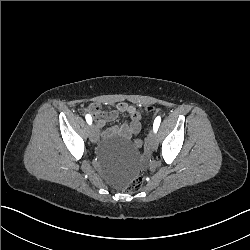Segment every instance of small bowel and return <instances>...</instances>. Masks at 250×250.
<instances>
[{"instance_id":"1","label":"small bowel","mask_w":250,"mask_h":250,"mask_svg":"<svg viewBox=\"0 0 250 250\" xmlns=\"http://www.w3.org/2000/svg\"><path fill=\"white\" fill-rule=\"evenodd\" d=\"M136 110L135 107L126 103H120L117 105L116 110L105 112L102 107L97 103H92L87 106L86 111L90 113L96 123L98 129L103 128L108 122L115 120L120 113H128ZM141 130V122H132L129 124H123L120 126L112 127L109 130L110 135H119L124 139H130L132 136L137 135Z\"/></svg>"}]
</instances>
